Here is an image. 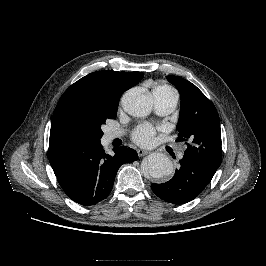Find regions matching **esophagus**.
Segmentation results:
<instances>
[{
    "instance_id": "obj_1",
    "label": "esophagus",
    "mask_w": 266,
    "mask_h": 266,
    "mask_svg": "<svg viewBox=\"0 0 266 266\" xmlns=\"http://www.w3.org/2000/svg\"><path fill=\"white\" fill-rule=\"evenodd\" d=\"M137 153L139 157H142V156L149 154V151L144 150V149H137Z\"/></svg>"
}]
</instances>
